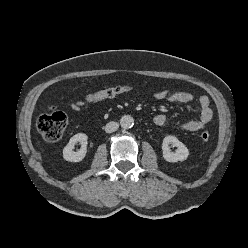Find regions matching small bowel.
<instances>
[{
	"label": "small bowel",
	"instance_id": "c3829d8e",
	"mask_svg": "<svg viewBox=\"0 0 248 248\" xmlns=\"http://www.w3.org/2000/svg\"><path fill=\"white\" fill-rule=\"evenodd\" d=\"M153 97L157 100H166L172 103H190L194 100V95L187 91L162 89L156 91ZM86 103L84 101H77L71 103L68 107L71 110H79ZM198 105L200 108V117L196 120H189L180 125L183 130L186 131H198L203 129L212 119L213 111L211 109L210 99L207 96H201L198 99ZM167 122V117L164 114H158L154 117V123L158 126H162Z\"/></svg>",
	"mask_w": 248,
	"mask_h": 248
}]
</instances>
